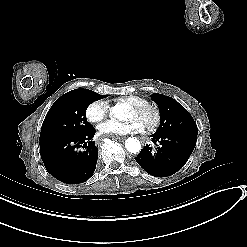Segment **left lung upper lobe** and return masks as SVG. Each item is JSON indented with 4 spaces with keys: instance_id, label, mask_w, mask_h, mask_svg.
<instances>
[{
    "instance_id": "1",
    "label": "left lung upper lobe",
    "mask_w": 247,
    "mask_h": 247,
    "mask_svg": "<svg viewBox=\"0 0 247 247\" xmlns=\"http://www.w3.org/2000/svg\"><path fill=\"white\" fill-rule=\"evenodd\" d=\"M160 111V126L155 134H183L197 137V125L189 112L171 97L153 93Z\"/></svg>"
}]
</instances>
